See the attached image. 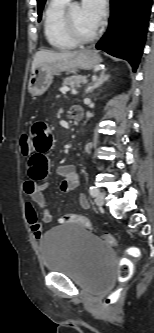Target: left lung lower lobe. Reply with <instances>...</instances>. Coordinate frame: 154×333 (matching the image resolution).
I'll use <instances>...</instances> for the list:
<instances>
[{
    "instance_id": "left-lung-lower-lobe-1",
    "label": "left lung lower lobe",
    "mask_w": 154,
    "mask_h": 333,
    "mask_svg": "<svg viewBox=\"0 0 154 333\" xmlns=\"http://www.w3.org/2000/svg\"><path fill=\"white\" fill-rule=\"evenodd\" d=\"M110 3L108 30L96 49L129 61L136 70L146 39L152 0H110Z\"/></svg>"
}]
</instances>
